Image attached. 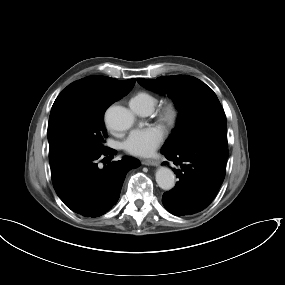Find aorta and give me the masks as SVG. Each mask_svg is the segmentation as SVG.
<instances>
[{"instance_id": "1", "label": "aorta", "mask_w": 285, "mask_h": 285, "mask_svg": "<svg viewBox=\"0 0 285 285\" xmlns=\"http://www.w3.org/2000/svg\"><path fill=\"white\" fill-rule=\"evenodd\" d=\"M105 120L109 128L116 131H125L134 123L132 112L122 106H111L105 114ZM156 182L163 190H171L175 186V175L167 167H160L156 171Z\"/></svg>"}]
</instances>
